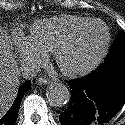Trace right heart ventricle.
<instances>
[{
  "label": "right heart ventricle",
  "instance_id": "right-heart-ventricle-1",
  "mask_svg": "<svg viewBox=\"0 0 125 125\" xmlns=\"http://www.w3.org/2000/svg\"><path fill=\"white\" fill-rule=\"evenodd\" d=\"M88 20L91 19L72 15L37 20L30 28V37L44 54L52 53L61 40Z\"/></svg>",
  "mask_w": 125,
  "mask_h": 125
}]
</instances>
